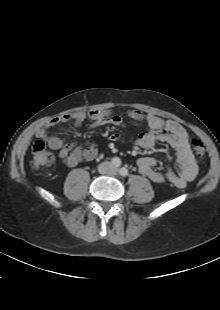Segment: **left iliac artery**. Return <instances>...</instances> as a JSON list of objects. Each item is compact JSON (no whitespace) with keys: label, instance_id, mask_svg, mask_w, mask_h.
<instances>
[{"label":"left iliac artery","instance_id":"1","mask_svg":"<svg viewBox=\"0 0 220 310\" xmlns=\"http://www.w3.org/2000/svg\"><path fill=\"white\" fill-rule=\"evenodd\" d=\"M120 175H122L123 177L127 176L129 174L128 170L126 168H121L119 170Z\"/></svg>","mask_w":220,"mask_h":310}]
</instances>
